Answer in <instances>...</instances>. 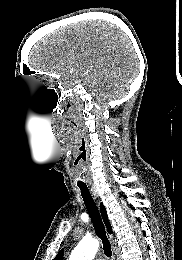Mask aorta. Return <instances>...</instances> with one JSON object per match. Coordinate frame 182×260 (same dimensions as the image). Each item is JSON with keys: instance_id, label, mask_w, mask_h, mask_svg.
Listing matches in <instances>:
<instances>
[{"instance_id": "obj_1", "label": "aorta", "mask_w": 182, "mask_h": 260, "mask_svg": "<svg viewBox=\"0 0 182 260\" xmlns=\"http://www.w3.org/2000/svg\"><path fill=\"white\" fill-rule=\"evenodd\" d=\"M99 249V241L95 238H83L72 251L69 260H93Z\"/></svg>"}]
</instances>
